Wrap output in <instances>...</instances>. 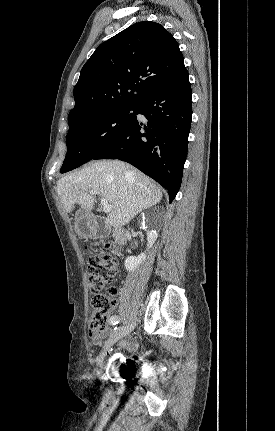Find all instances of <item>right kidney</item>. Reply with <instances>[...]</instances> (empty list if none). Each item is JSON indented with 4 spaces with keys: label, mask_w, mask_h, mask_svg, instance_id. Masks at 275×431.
<instances>
[{
    "label": "right kidney",
    "mask_w": 275,
    "mask_h": 431,
    "mask_svg": "<svg viewBox=\"0 0 275 431\" xmlns=\"http://www.w3.org/2000/svg\"><path fill=\"white\" fill-rule=\"evenodd\" d=\"M157 237H158V234L156 233V231L151 230L148 233V236H147V241H148L147 247H148V249L152 247V245L156 241ZM145 259H146L145 253H142L138 257H134V256L127 257L125 260V263H124L126 270L129 272L130 271L133 272L142 262L145 261Z\"/></svg>",
    "instance_id": "obj_1"
}]
</instances>
